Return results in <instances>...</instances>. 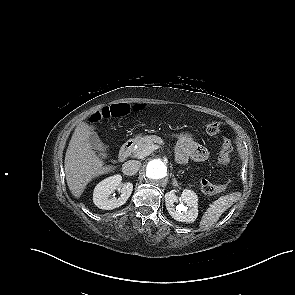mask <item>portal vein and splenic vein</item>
Returning a JSON list of instances; mask_svg holds the SVG:
<instances>
[{
	"label": "portal vein and splenic vein",
	"instance_id": "portal-vein-and-splenic-vein-1",
	"mask_svg": "<svg viewBox=\"0 0 295 295\" xmlns=\"http://www.w3.org/2000/svg\"><path fill=\"white\" fill-rule=\"evenodd\" d=\"M159 148V146L158 145H152V146H150L149 147V151H153V150H156V149H158ZM145 155H140L138 158H143Z\"/></svg>",
	"mask_w": 295,
	"mask_h": 295
}]
</instances>
